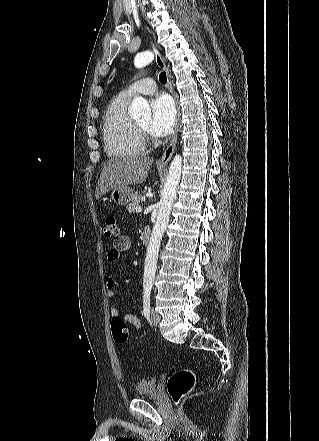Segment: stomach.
<instances>
[{
  "instance_id": "0dacf381",
  "label": "stomach",
  "mask_w": 319,
  "mask_h": 441,
  "mask_svg": "<svg viewBox=\"0 0 319 441\" xmlns=\"http://www.w3.org/2000/svg\"><path fill=\"white\" fill-rule=\"evenodd\" d=\"M132 198L133 189L128 186L114 189L111 191L110 195V200L121 206L129 204V202L132 201Z\"/></svg>"
}]
</instances>
